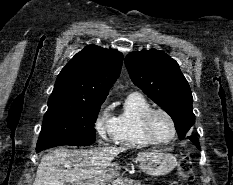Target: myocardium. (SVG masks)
I'll return each mask as SVG.
<instances>
[{"instance_id": "1", "label": "myocardium", "mask_w": 233, "mask_h": 185, "mask_svg": "<svg viewBox=\"0 0 233 185\" xmlns=\"http://www.w3.org/2000/svg\"><path fill=\"white\" fill-rule=\"evenodd\" d=\"M157 113H160V114H163L164 116H166L171 123L172 134L166 140H158L157 138H155V136L153 135V133L151 131V127H150L151 119ZM141 126H142V131H143L145 137L153 144H167L175 138L176 133H177L176 123H175L174 118L172 117V115L169 112H167L166 110L161 109V108L149 109L142 117Z\"/></svg>"}]
</instances>
